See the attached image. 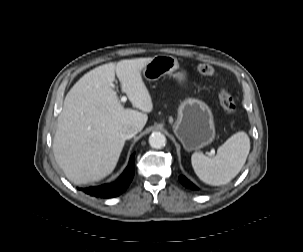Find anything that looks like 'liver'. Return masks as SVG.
Here are the masks:
<instances>
[{
	"mask_svg": "<svg viewBox=\"0 0 303 252\" xmlns=\"http://www.w3.org/2000/svg\"><path fill=\"white\" fill-rule=\"evenodd\" d=\"M153 58L107 63L83 75L65 97L53 140L55 160L74 184L99 181L112 173L125 144L120 131H141L153 109L141 72ZM117 75L134 107L125 109L112 85Z\"/></svg>",
	"mask_w": 303,
	"mask_h": 252,
	"instance_id": "obj_1",
	"label": "liver"
}]
</instances>
